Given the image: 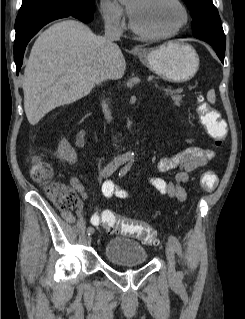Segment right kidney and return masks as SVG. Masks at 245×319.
<instances>
[{"mask_svg":"<svg viewBox=\"0 0 245 319\" xmlns=\"http://www.w3.org/2000/svg\"><path fill=\"white\" fill-rule=\"evenodd\" d=\"M57 154L60 159L65 160L69 163H75L77 161V155L75 153V150L65 139L60 141L58 145Z\"/></svg>","mask_w":245,"mask_h":319,"instance_id":"obj_1","label":"right kidney"}]
</instances>
